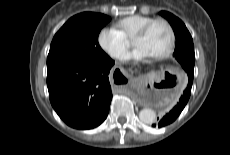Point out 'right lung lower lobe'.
Segmentation results:
<instances>
[{"instance_id":"right-lung-lower-lobe-1","label":"right lung lower lobe","mask_w":230,"mask_h":155,"mask_svg":"<svg viewBox=\"0 0 230 155\" xmlns=\"http://www.w3.org/2000/svg\"><path fill=\"white\" fill-rule=\"evenodd\" d=\"M114 61L61 63L47 67L52 107L76 129H92L107 117L112 99L108 74Z\"/></svg>"}]
</instances>
